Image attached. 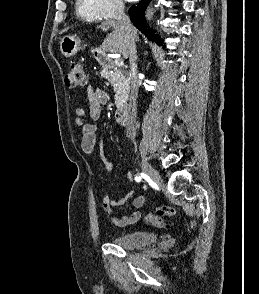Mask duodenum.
<instances>
[{"label": "duodenum", "instance_id": "1", "mask_svg": "<svg viewBox=\"0 0 259 294\" xmlns=\"http://www.w3.org/2000/svg\"><path fill=\"white\" fill-rule=\"evenodd\" d=\"M98 58L101 63L109 65V62L104 55H99ZM116 119L131 130H136L138 127V123L132 118L129 110L124 106H119L116 110Z\"/></svg>", "mask_w": 259, "mask_h": 294}]
</instances>
